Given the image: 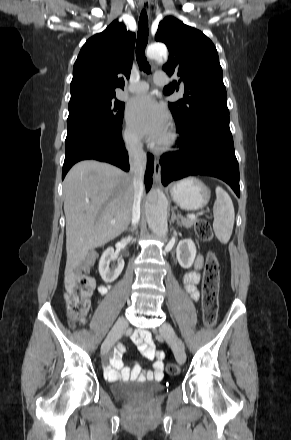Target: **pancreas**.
Segmentation results:
<instances>
[{
  "instance_id": "cf45deb5",
  "label": "pancreas",
  "mask_w": 291,
  "mask_h": 440,
  "mask_svg": "<svg viewBox=\"0 0 291 440\" xmlns=\"http://www.w3.org/2000/svg\"><path fill=\"white\" fill-rule=\"evenodd\" d=\"M181 220V225L185 226L186 228H191L193 225L196 224V222H198L197 219H188V218H183L180 217Z\"/></svg>"
}]
</instances>
